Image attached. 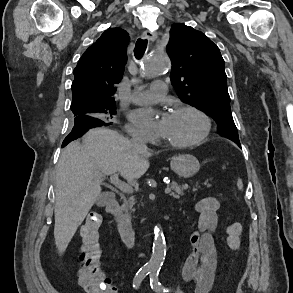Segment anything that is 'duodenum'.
<instances>
[{
  "mask_svg": "<svg viewBox=\"0 0 293 293\" xmlns=\"http://www.w3.org/2000/svg\"><path fill=\"white\" fill-rule=\"evenodd\" d=\"M107 210L114 218L122 241L128 248L136 245L137 231L123 214L119 201L114 198L107 204Z\"/></svg>",
  "mask_w": 293,
  "mask_h": 293,
  "instance_id": "duodenum-1",
  "label": "duodenum"
}]
</instances>
